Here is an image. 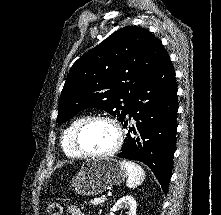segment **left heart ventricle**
Here are the masks:
<instances>
[{
    "mask_svg": "<svg viewBox=\"0 0 221 215\" xmlns=\"http://www.w3.org/2000/svg\"><path fill=\"white\" fill-rule=\"evenodd\" d=\"M83 149L90 153L108 151L115 143L113 127L105 121H95L89 124L80 138Z\"/></svg>",
    "mask_w": 221,
    "mask_h": 215,
    "instance_id": "b2bd125f",
    "label": "left heart ventricle"
}]
</instances>
